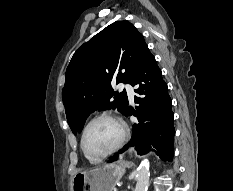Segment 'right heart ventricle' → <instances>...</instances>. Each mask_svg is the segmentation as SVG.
Instances as JSON below:
<instances>
[{"mask_svg": "<svg viewBox=\"0 0 233 191\" xmlns=\"http://www.w3.org/2000/svg\"><path fill=\"white\" fill-rule=\"evenodd\" d=\"M88 158V157H87ZM89 160H91V161H95V160H93V159H90V158H88Z\"/></svg>", "mask_w": 233, "mask_h": 191, "instance_id": "1", "label": "right heart ventricle"}]
</instances>
